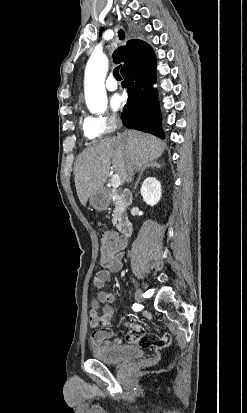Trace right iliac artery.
<instances>
[{"label":"right iliac artery","mask_w":247,"mask_h":413,"mask_svg":"<svg viewBox=\"0 0 247 413\" xmlns=\"http://www.w3.org/2000/svg\"><path fill=\"white\" fill-rule=\"evenodd\" d=\"M132 309H133L134 311H140V310H141V305L135 303V304H133Z\"/></svg>","instance_id":"obj_1"}]
</instances>
